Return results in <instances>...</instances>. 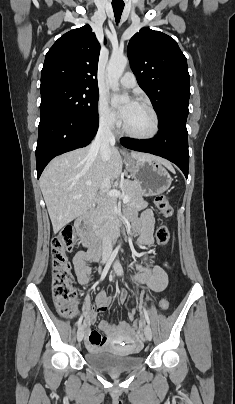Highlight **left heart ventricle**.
Instances as JSON below:
<instances>
[{"instance_id":"left-heart-ventricle-1","label":"left heart ventricle","mask_w":235,"mask_h":404,"mask_svg":"<svg viewBox=\"0 0 235 404\" xmlns=\"http://www.w3.org/2000/svg\"><path fill=\"white\" fill-rule=\"evenodd\" d=\"M123 122L130 132L139 135L148 134L153 127L152 115L145 107L137 103L130 108Z\"/></svg>"}]
</instances>
